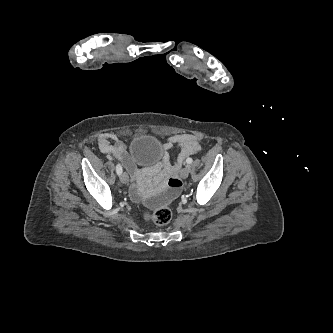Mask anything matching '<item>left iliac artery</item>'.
Masks as SVG:
<instances>
[{"label": "left iliac artery", "mask_w": 333, "mask_h": 333, "mask_svg": "<svg viewBox=\"0 0 333 333\" xmlns=\"http://www.w3.org/2000/svg\"><path fill=\"white\" fill-rule=\"evenodd\" d=\"M187 164H191L193 162L192 158H187L186 160Z\"/></svg>", "instance_id": "44dca946"}]
</instances>
